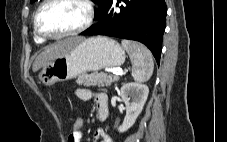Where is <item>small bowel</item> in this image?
Returning <instances> with one entry per match:
<instances>
[{
    "label": "small bowel",
    "mask_w": 227,
    "mask_h": 142,
    "mask_svg": "<svg viewBox=\"0 0 227 142\" xmlns=\"http://www.w3.org/2000/svg\"><path fill=\"white\" fill-rule=\"evenodd\" d=\"M76 95L81 100L87 101L94 98L97 108L104 103H107V97L104 93H94L88 89H78L76 91ZM83 136V132L79 134H72L70 133L68 136V142H81ZM94 142H113L111 137L103 130L97 129L93 136Z\"/></svg>",
    "instance_id": "c3829d8e"
}]
</instances>
